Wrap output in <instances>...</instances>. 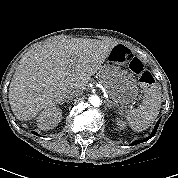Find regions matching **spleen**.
Wrapping results in <instances>:
<instances>
[{
  "instance_id": "3e777b00",
  "label": "spleen",
  "mask_w": 178,
  "mask_h": 178,
  "mask_svg": "<svg viewBox=\"0 0 178 178\" xmlns=\"http://www.w3.org/2000/svg\"><path fill=\"white\" fill-rule=\"evenodd\" d=\"M161 103V87L157 83H152L139 107L125 112V118L130 127L137 132L149 128L159 114Z\"/></svg>"
}]
</instances>
